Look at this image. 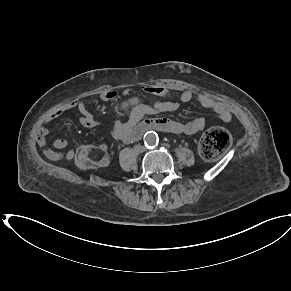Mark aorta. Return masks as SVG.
Returning a JSON list of instances; mask_svg holds the SVG:
<instances>
[{
	"mask_svg": "<svg viewBox=\"0 0 291 291\" xmlns=\"http://www.w3.org/2000/svg\"><path fill=\"white\" fill-rule=\"evenodd\" d=\"M144 142L147 146H154L157 143V136L153 132H148L144 137Z\"/></svg>",
	"mask_w": 291,
	"mask_h": 291,
	"instance_id": "obj_1",
	"label": "aorta"
}]
</instances>
